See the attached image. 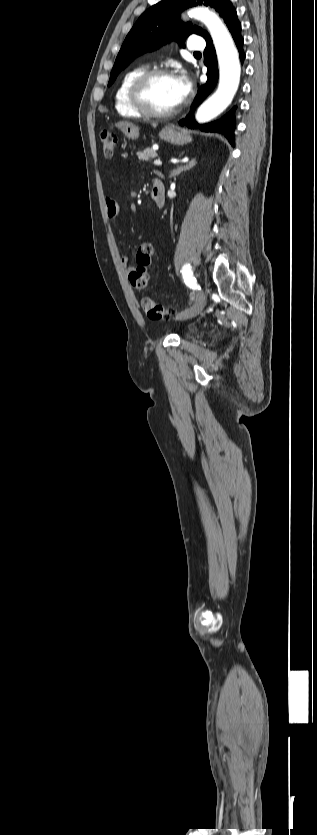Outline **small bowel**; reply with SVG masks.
Here are the masks:
<instances>
[{"instance_id":"c3829d8e","label":"small bowel","mask_w":317,"mask_h":835,"mask_svg":"<svg viewBox=\"0 0 317 835\" xmlns=\"http://www.w3.org/2000/svg\"><path fill=\"white\" fill-rule=\"evenodd\" d=\"M106 211L107 215L110 219H116L119 216L120 208L116 200L111 197L106 198ZM154 248L150 243H142L137 251L136 261L139 263L140 260H147L150 258V251ZM120 263L123 267L128 268L132 271V268H129V258L125 255L120 257Z\"/></svg>"}]
</instances>
